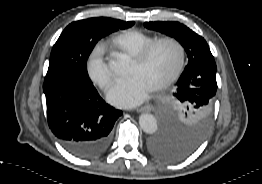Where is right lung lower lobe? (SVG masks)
Wrapping results in <instances>:
<instances>
[{"label":"right lung lower lobe","instance_id":"1","mask_svg":"<svg viewBox=\"0 0 262 184\" xmlns=\"http://www.w3.org/2000/svg\"><path fill=\"white\" fill-rule=\"evenodd\" d=\"M48 125L73 155L91 159L111 142V130L122 114L105 103L92 83L64 77L44 82Z\"/></svg>","mask_w":262,"mask_h":184}]
</instances>
